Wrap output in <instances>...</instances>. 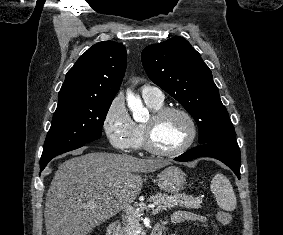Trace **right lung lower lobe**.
<instances>
[{
	"label": "right lung lower lobe",
	"instance_id": "1",
	"mask_svg": "<svg viewBox=\"0 0 283 235\" xmlns=\"http://www.w3.org/2000/svg\"><path fill=\"white\" fill-rule=\"evenodd\" d=\"M83 145H84V144L74 146V147H72L71 149H68V150H66V151H64V152H62V153H65V152H68V151L77 149V148H79V147H81V146H83ZM62 153H60V154H62ZM57 155H59V154H57ZM57 155H56V156H57ZM51 159H52V158L40 162V171H42V170L45 168V166L48 164V162H49Z\"/></svg>",
	"mask_w": 283,
	"mask_h": 235
}]
</instances>
